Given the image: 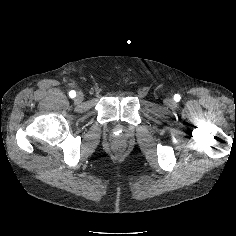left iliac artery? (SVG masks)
I'll list each match as a JSON object with an SVG mask.
<instances>
[{"instance_id":"44dca946","label":"left iliac artery","mask_w":236,"mask_h":236,"mask_svg":"<svg viewBox=\"0 0 236 236\" xmlns=\"http://www.w3.org/2000/svg\"><path fill=\"white\" fill-rule=\"evenodd\" d=\"M174 100H175V101H179V100H180V95L176 94V95L174 96Z\"/></svg>"}]
</instances>
